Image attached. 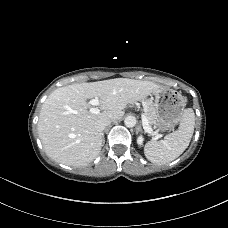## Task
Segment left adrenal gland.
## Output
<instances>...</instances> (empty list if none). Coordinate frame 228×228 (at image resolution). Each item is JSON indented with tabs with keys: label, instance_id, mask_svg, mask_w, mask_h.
<instances>
[{
	"label": "left adrenal gland",
	"instance_id": "1",
	"mask_svg": "<svg viewBox=\"0 0 228 228\" xmlns=\"http://www.w3.org/2000/svg\"><path fill=\"white\" fill-rule=\"evenodd\" d=\"M139 131L142 132V128H141V125L138 126L137 130H136V133H138Z\"/></svg>",
	"mask_w": 228,
	"mask_h": 228
}]
</instances>
